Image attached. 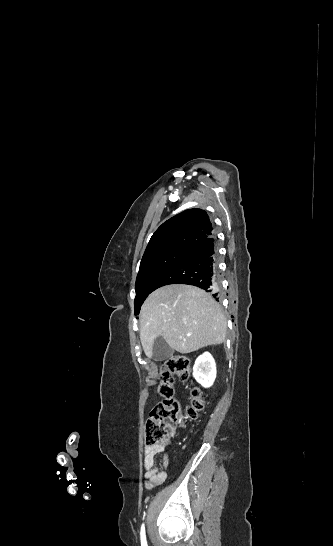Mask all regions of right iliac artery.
Instances as JSON below:
<instances>
[{"instance_id":"82829eb1","label":"right iliac artery","mask_w":333,"mask_h":546,"mask_svg":"<svg viewBox=\"0 0 333 546\" xmlns=\"http://www.w3.org/2000/svg\"><path fill=\"white\" fill-rule=\"evenodd\" d=\"M140 537H141V546H147L144 524H142L141 526Z\"/></svg>"}]
</instances>
